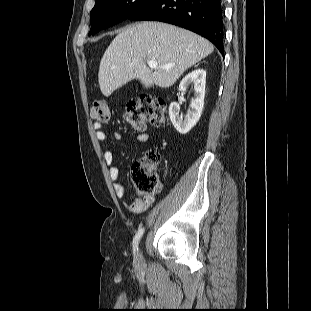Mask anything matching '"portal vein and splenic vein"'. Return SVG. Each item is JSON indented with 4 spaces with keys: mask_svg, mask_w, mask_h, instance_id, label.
I'll list each match as a JSON object with an SVG mask.
<instances>
[{
    "mask_svg": "<svg viewBox=\"0 0 311 311\" xmlns=\"http://www.w3.org/2000/svg\"><path fill=\"white\" fill-rule=\"evenodd\" d=\"M147 64L149 65V67H150L151 69H157V68H158V64H157V62H155V61H147ZM171 67H173V65L161 66V68H163V69H169V68H171Z\"/></svg>",
    "mask_w": 311,
    "mask_h": 311,
    "instance_id": "portal-vein-and-splenic-vein-1",
    "label": "portal vein and splenic vein"
}]
</instances>
